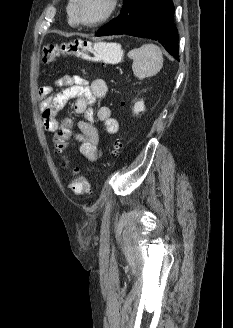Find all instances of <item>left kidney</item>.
I'll list each match as a JSON object with an SVG mask.
<instances>
[{"label": "left kidney", "instance_id": "left-kidney-1", "mask_svg": "<svg viewBox=\"0 0 233 328\" xmlns=\"http://www.w3.org/2000/svg\"><path fill=\"white\" fill-rule=\"evenodd\" d=\"M144 110H145V105H144L143 100L135 102L134 107H133L134 114H139L140 112H143Z\"/></svg>", "mask_w": 233, "mask_h": 328}]
</instances>
